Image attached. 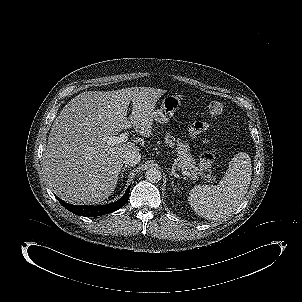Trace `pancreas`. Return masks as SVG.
<instances>
[{
    "mask_svg": "<svg viewBox=\"0 0 302 302\" xmlns=\"http://www.w3.org/2000/svg\"><path fill=\"white\" fill-rule=\"evenodd\" d=\"M165 143L170 147H176L178 163L177 166L183 170L190 171L191 177L196 179L200 174V169L196 166L195 159L189 152V146L187 143L180 141L179 139L175 140L172 136L167 134L165 136Z\"/></svg>",
    "mask_w": 302,
    "mask_h": 302,
    "instance_id": "pancreas-1",
    "label": "pancreas"
}]
</instances>
